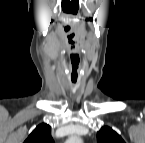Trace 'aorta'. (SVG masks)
Returning a JSON list of instances; mask_svg holds the SVG:
<instances>
[{
  "mask_svg": "<svg viewBox=\"0 0 145 143\" xmlns=\"http://www.w3.org/2000/svg\"><path fill=\"white\" fill-rule=\"evenodd\" d=\"M80 141H81V139H80L79 137H76V136L70 137V138L67 140V142H70V143H78V142H80Z\"/></svg>",
  "mask_w": 145,
  "mask_h": 143,
  "instance_id": "aorta-1",
  "label": "aorta"
}]
</instances>
